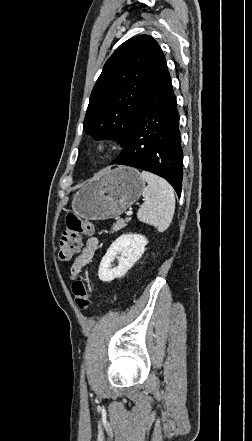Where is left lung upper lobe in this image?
I'll use <instances>...</instances> for the list:
<instances>
[{
    "label": "left lung upper lobe",
    "instance_id": "left-lung-upper-lobe-1",
    "mask_svg": "<svg viewBox=\"0 0 252 441\" xmlns=\"http://www.w3.org/2000/svg\"><path fill=\"white\" fill-rule=\"evenodd\" d=\"M161 56L148 35L127 40L111 55L90 96L83 123L87 134L125 146Z\"/></svg>",
    "mask_w": 252,
    "mask_h": 441
}]
</instances>
